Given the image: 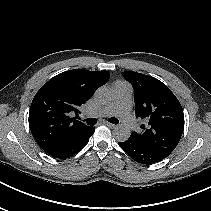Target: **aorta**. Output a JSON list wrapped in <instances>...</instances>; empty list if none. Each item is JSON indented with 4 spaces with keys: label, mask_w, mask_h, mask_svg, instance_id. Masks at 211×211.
<instances>
[{
    "label": "aorta",
    "mask_w": 211,
    "mask_h": 211,
    "mask_svg": "<svg viewBox=\"0 0 211 211\" xmlns=\"http://www.w3.org/2000/svg\"><path fill=\"white\" fill-rule=\"evenodd\" d=\"M95 99L101 103H106L112 99V93L108 88L100 87L95 92ZM130 135L131 130L125 125H118L113 130V136L119 142L128 140Z\"/></svg>",
    "instance_id": "obj_1"
}]
</instances>
